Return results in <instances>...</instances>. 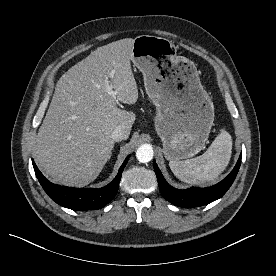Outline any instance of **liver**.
<instances>
[{"instance_id":"obj_1","label":"liver","mask_w":276,"mask_h":276,"mask_svg":"<svg viewBox=\"0 0 276 276\" xmlns=\"http://www.w3.org/2000/svg\"><path fill=\"white\" fill-rule=\"evenodd\" d=\"M133 43L125 38L98 47L58 80L35 147V161L52 181L88 185L110 158L113 130L121 126L128 138L135 114L119 109L116 102L138 100L130 63ZM106 79L115 97L106 91Z\"/></svg>"}]
</instances>
